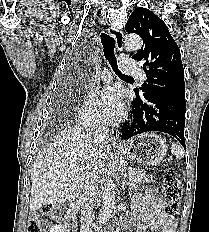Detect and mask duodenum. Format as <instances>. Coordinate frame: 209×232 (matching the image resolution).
<instances>
[{
    "label": "duodenum",
    "instance_id": "1",
    "mask_svg": "<svg viewBox=\"0 0 209 232\" xmlns=\"http://www.w3.org/2000/svg\"><path fill=\"white\" fill-rule=\"evenodd\" d=\"M74 221H73V219H70L69 221H68V223H66V227H74Z\"/></svg>",
    "mask_w": 209,
    "mask_h": 232
}]
</instances>
